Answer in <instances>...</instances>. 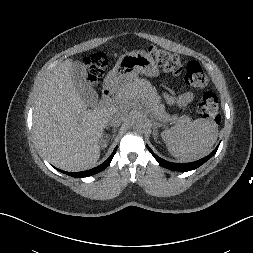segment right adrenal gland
Listing matches in <instances>:
<instances>
[{"label": "right adrenal gland", "mask_w": 253, "mask_h": 253, "mask_svg": "<svg viewBox=\"0 0 253 253\" xmlns=\"http://www.w3.org/2000/svg\"><path fill=\"white\" fill-rule=\"evenodd\" d=\"M108 129H109V125H108V127H107V130H108ZM116 131H117V126H114V127H113V137L115 136Z\"/></svg>", "instance_id": "2a0ac1e0"}]
</instances>
